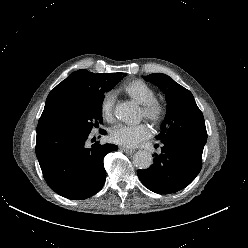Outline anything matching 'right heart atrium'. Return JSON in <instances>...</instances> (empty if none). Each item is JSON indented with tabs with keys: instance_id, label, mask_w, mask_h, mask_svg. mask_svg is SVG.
<instances>
[{
	"instance_id": "1",
	"label": "right heart atrium",
	"mask_w": 248,
	"mask_h": 248,
	"mask_svg": "<svg viewBox=\"0 0 248 248\" xmlns=\"http://www.w3.org/2000/svg\"><path fill=\"white\" fill-rule=\"evenodd\" d=\"M114 111V96L112 93H106L100 103V112L102 118L107 122H112Z\"/></svg>"
}]
</instances>
